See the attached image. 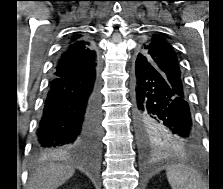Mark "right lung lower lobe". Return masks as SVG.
<instances>
[{"label": "right lung lower lobe", "instance_id": "obj_1", "mask_svg": "<svg viewBox=\"0 0 223 189\" xmlns=\"http://www.w3.org/2000/svg\"><path fill=\"white\" fill-rule=\"evenodd\" d=\"M99 68L80 76H52L40 115L34 151L51 154L82 146L100 148Z\"/></svg>", "mask_w": 223, "mask_h": 189}]
</instances>
